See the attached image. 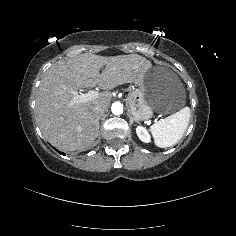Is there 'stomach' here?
Segmentation results:
<instances>
[{"mask_svg": "<svg viewBox=\"0 0 236 236\" xmlns=\"http://www.w3.org/2000/svg\"><path fill=\"white\" fill-rule=\"evenodd\" d=\"M127 102L135 121L148 120L153 112L172 114L185 105V89L179 78L161 67L150 69Z\"/></svg>", "mask_w": 236, "mask_h": 236, "instance_id": "stomach-1", "label": "stomach"}]
</instances>
